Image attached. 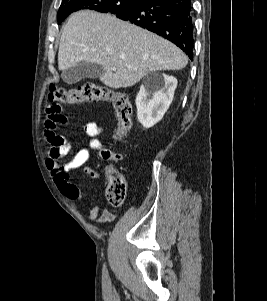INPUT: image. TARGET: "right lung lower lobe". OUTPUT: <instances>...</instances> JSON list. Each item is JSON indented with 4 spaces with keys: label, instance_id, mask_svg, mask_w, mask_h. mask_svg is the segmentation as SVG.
I'll return each mask as SVG.
<instances>
[{
    "label": "right lung lower lobe",
    "instance_id": "obj_1",
    "mask_svg": "<svg viewBox=\"0 0 267 301\" xmlns=\"http://www.w3.org/2000/svg\"><path fill=\"white\" fill-rule=\"evenodd\" d=\"M116 16L168 39L193 58L191 0H142Z\"/></svg>",
    "mask_w": 267,
    "mask_h": 301
}]
</instances>
